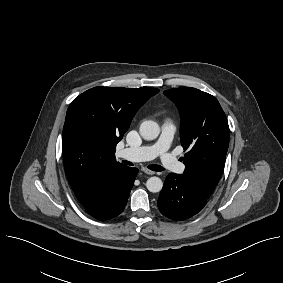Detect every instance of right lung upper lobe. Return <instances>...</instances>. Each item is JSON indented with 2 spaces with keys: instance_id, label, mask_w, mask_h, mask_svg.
Wrapping results in <instances>:
<instances>
[{
  "instance_id": "cb5924a9",
  "label": "right lung upper lobe",
  "mask_w": 283,
  "mask_h": 283,
  "mask_svg": "<svg viewBox=\"0 0 283 283\" xmlns=\"http://www.w3.org/2000/svg\"><path fill=\"white\" fill-rule=\"evenodd\" d=\"M158 92V89L149 87H95L71 102L63 128L62 151L68 180L81 204L89 200L100 176L123 165L116 161V145L138 109ZM78 103L93 114L97 123L93 133L74 124L71 112Z\"/></svg>"
}]
</instances>
